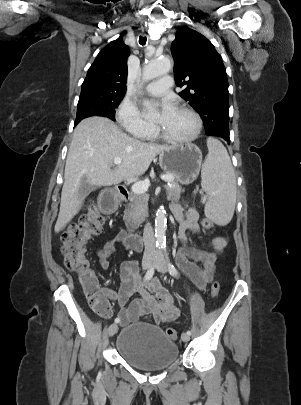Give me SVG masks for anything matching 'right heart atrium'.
I'll return each mask as SVG.
<instances>
[{
	"label": "right heart atrium",
	"mask_w": 301,
	"mask_h": 405,
	"mask_svg": "<svg viewBox=\"0 0 301 405\" xmlns=\"http://www.w3.org/2000/svg\"><path fill=\"white\" fill-rule=\"evenodd\" d=\"M116 119L125 131L135 136L143 135L152 129V124L142 117L138 107L128 98L119 104Z\"/></svg>",
	"instance_id": "d8ad5b80"
}]
</instances>
